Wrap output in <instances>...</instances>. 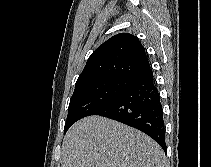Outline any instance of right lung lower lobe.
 <instances>
[{
  "label": "right lung lower lobe",
  "instance_id": "obj_1",
  "mask_svg": "<svg viewBox=\"0 0 211 167\" xmlns=\"http://www.w3.org/2000/svg\"><path fill=\"white\" fill-rule=\"evenodd\" d=\"M131 85L93 115L104 116L146 133L166 152L160 95L149 67L130 78Z\"/></svg>",
  "mask_w": 211,
  "mask_h": 167
}]
</instances>
